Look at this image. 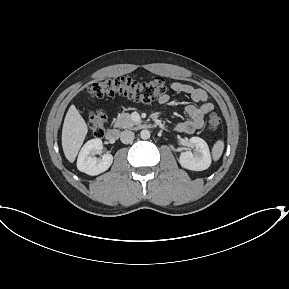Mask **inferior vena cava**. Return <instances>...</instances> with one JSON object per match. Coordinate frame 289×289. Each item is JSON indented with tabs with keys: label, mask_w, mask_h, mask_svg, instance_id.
<instances>
[{
	"label": "inferior vena cava",
	"mask_w": 289,
	"mask_h": 289,
	"mask_svg": "<svg viewBox=\"0 0 289 289\" xmlns=\"http://www.w3.org/2000/svg\"><path fill=\"white\" fill-rule=\"evenodd\" d=\"M134 139V133L130 130H125L121 133L120 140L124 144H129Z\"/></svg>",
	"instance_id": "1"
}]
</instances>
